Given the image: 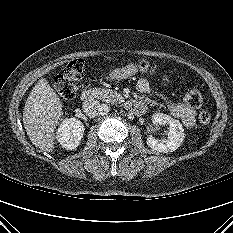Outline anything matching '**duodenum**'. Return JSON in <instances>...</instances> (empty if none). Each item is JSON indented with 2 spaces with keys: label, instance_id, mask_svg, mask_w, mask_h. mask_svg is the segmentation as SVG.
<instances>
[{
  "label": "duodenum",
  "instance_id": "1",
  "mask_svg": "<svg viewBox=\"0 0 233 233\" xmlns=\"http://www.w3.org/2000/svg\"><path fill=\"white\" fill-rule=\"evenodd\" d=\"M94 97H95L94 93L90 89H84L80 95L81 100L86 101V102L92 101L94 99ZM124 106L129 112H131L133 114H140L145 109L144 105L140 102H137V101H126L124 103Z\"/></svg>",
  "mask_w": 233,
  "mask_h": 233
}]
</instances>
